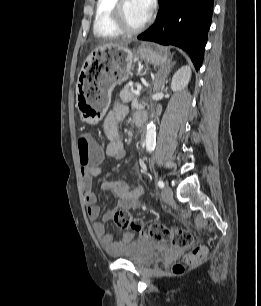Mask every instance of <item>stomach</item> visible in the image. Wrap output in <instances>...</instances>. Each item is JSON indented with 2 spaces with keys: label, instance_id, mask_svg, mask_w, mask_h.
I'll return each mask as SVG.
<instances>
[{
  "label": "stomach",
  "instance_id": "0dacf381",
  "mask_svg": "<svg viewBox=\"0 0 261 306\" xmlns=\"http://www.w3.org/2000/svg\"><path fill=\"white\" fill-rule=\"evenodd\" d=\"M168 57L166 50L149 43H141L133 51L127 47H100L94 50L84 63L85 76L78 82L76 91L77 106L83 120L96 124L103 118L113 89L128 79L135 58L149 64L163 65L169 62Z\"/></svg>",
  "mask_w": 261,
  "mask_h": 306
}]
</instances>
